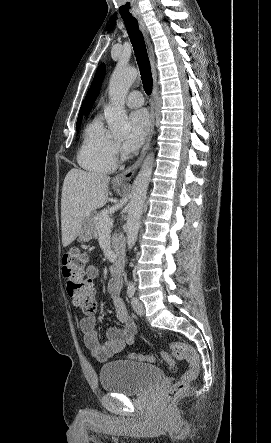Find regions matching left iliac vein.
Wrapping results in <instances>:
<instances>
[{"label":"left iliac vein","mask_w":271,"mask_h":443,"mask_svg":"<svg viewBox=\"0 0 271 443\" xmlns=\"http://www.w3.org/2000/svg\"><path fill=\"white\" fill-rule=\"evenodd\" d=\"M131 305L137 315H139V316L144 315V313H145L144 305L142 304V302L138 298L133 297L131 300Z\"/></svg>","instance_id":"obj_1"}]
</instances>
